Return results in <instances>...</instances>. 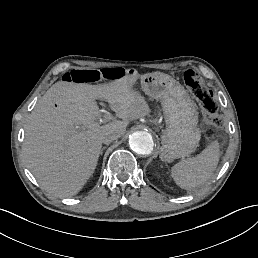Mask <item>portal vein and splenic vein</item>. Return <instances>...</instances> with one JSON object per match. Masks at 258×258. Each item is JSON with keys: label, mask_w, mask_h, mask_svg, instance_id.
<instances>
[{"label": "portal vein and splenic vein", "mask_w": 258, "mask_h": 258, "mask_svg": "<svg viewBox=\"0 0 258 258\" xmlns=\"http://www.w3.org/2000/svg\"><path fill=\"white\" fill-rule=\"evenodd\" d=\"M108 115H109V118L112 119L111 113H108ZM76 129H77V130H82V129H84V126L78 125V126H76Z\"/></svg>", "instance_id": "1"}]
</instances>
